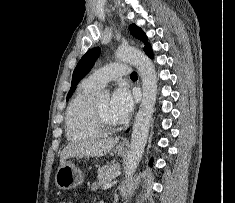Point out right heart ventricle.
<instances>
[{
	"mask_svg": "<svg viewBox=\"0 0 235 203\" xmlns=\"http://www.w3.org/2000/svg\"><path fill=\"white\" fill-rule=\"evenodd\" d=\"M97 90L98 88L83 81L71 99L65 122L69 141H90L102 136L93 118V94Z\"/></svg>",
	"mask_w": 235,
	"mask_h": 203,
	"instance_id": "1",
	"label": "right heart ventricle"
}]
</instances>
